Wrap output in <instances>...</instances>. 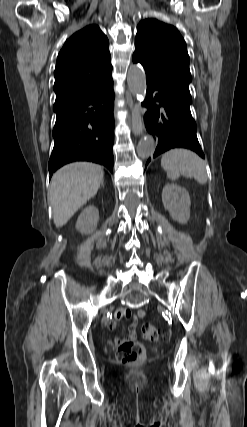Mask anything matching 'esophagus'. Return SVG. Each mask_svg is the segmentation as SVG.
Returning <instances> with one entry per match:
<instances>
[{
	"label": "esophagus",
	"mask_w": 247,
	"mask_h": 427,
	"mask_svg": "<svg viewBox=\"0 0 247 427\" xmlns=\"http://www.w3.org/2000/svg\"><path fill=\"white\" fill-rule=\"evenodd\" d=\"M131 128L134 135H141L144 131L143 120L140 112V105L135 104L131 112Z\"/></svg>",
	"instance_id": "34e87169"
}]
</instances>
